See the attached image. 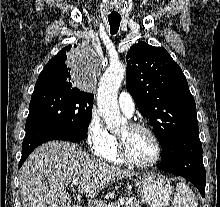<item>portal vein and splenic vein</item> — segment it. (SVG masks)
Wrapping results in <instances>:
<instances>
[{
    "label": "portal vein and splenic vein",
    "mask_w": 220,
    "mask_h": 207,
    "mask_svg": "<svg viewBox=\"0 0 220 207\" xmlns=\"http://www.w3.org/2000/svg\"><path fill=\"white\" fill-rule=\"evenodd\" d=\"M78 184H79V181L78 180H74L71 183V187H76ZM124 203H125V199L121 198V199L115 201L114 203L106 205V207H120Z\"/></svg>",
    "instance_id": "portal-vein-and-splenic-vein-1"
}]
</instances>
